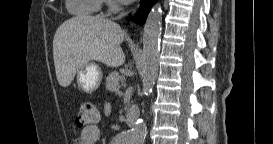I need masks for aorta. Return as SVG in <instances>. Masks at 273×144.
<instances>
[{
    "label": "aorta",
    "mask_w": 273,
    "mask_h": 144,
    "mask_svg": "<svg viewBox=\"0 0 273 144\" xmlns=\"http://www.w3.org/2000/svg\"><path fill=\"white\" fill-rule=\"evenodd\" d=\"M162 28V9L156 3L148 14L143 31V93H152L159 68L160 35ZM147 133V126L142 119L138 120L134 128L118 136L119 144H143Z\"/></svg>",
    "instance_id": "762f6f07"
}]
</instances>
